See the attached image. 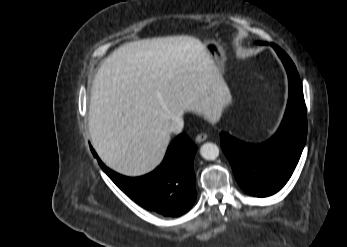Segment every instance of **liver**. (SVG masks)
<instances>
[{"label":"liver","mask_w":347,"mask_h":247,"mask_svg":"<svg viewBox=\"0 0 347 247\" xmlns=\"http://www.w3.org/2000/svg\"><path fill=\"white\" fill-rule=\"evenodd\" d=\"M230 101L199 39L182 35L133 41L114 50L95 76L89 133L107 166L141 176L162 161L173 118L192 111L215 122Z\"/></svg>","instance_id":"liver-1"}]
</instances>
